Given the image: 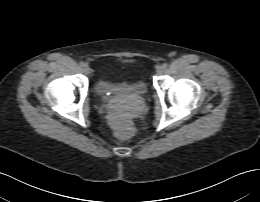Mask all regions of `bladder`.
<instances>
[{
	"instance_id": "1",
	"label": "bladder",
	"mask_w": 260,
	"mask_h": 202,
	"mask_svg": "<svg viewBox=\"0 0 260 202\" xmlns=\"http://www.w3.org/2000/svg\"><path fill=\"white\" fill-rule=\"evenodd\" d=\"M95 88L97 92L102 95L113 92H122L142 98L147 94V84L142 79L110 80L101 77L96 81Z\"/></svg>"
}]
</instances>
